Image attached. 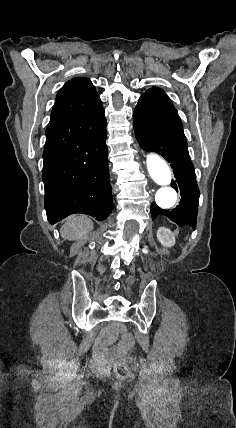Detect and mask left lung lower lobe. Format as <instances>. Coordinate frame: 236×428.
<instances>
[{
	"label": "left lung lower lobe",
	"instance_id": "obj_1",
	"mask_svg": "<svg viewBox=\"0 0 236 428\" xmlns=\"http://www.w3.org/2000/svg\"><path fill=\"white\" fill-rule=\"evenodd\" d=\"M136 139L145 151H154L171 163L175 180L171 186L182 196L173 210L151 204V216L165 215L178 226L196 227L199 188L194 166L189 157L187 141L181 119L174 107H159L153 104H138L133 114Z\"/></svg>",
	"mask_w": 236,
	"mask_h": 428
}]
</instances>
